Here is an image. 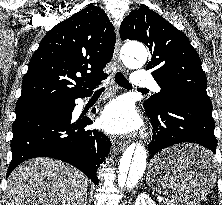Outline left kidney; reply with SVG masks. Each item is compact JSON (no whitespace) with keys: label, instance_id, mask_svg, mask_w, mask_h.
I'll return each instance as SVG.
<instances>
[{"label":"left kidney","instance_id":"obj_1","mask_svg":"<svg viewBox=\"0 0 222 205\" xmlns=\"http://www.w3.org/2000/svg\"><path fill=\"white\" fill-rule=\"evenodd\" d=\"M135 205H156L155 202L147 194L141 193L136 198Z\"/></svg>","mask_w":222,"mask_h":205}]
</instances>
